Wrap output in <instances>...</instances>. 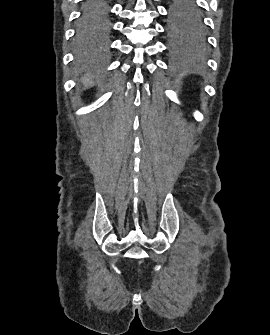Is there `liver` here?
Listing matches in <instances>:
<instances>
[{
    "label": "liver",
    "mask_w": 270,
    "mask_h": 335,
    "mask_svg": "<svg viewBox=\"0 0 270 335\" xmlns=\"http://www.w3.org/2000/svg\"><path fill=\"white\" fill-rule=\"evenodd\" d=\"M83 84H85V86H88V84H93V82H90L89 78H83Z\"/></svg>",
    "instance_id": "6515ba94"
}]
</instances>
